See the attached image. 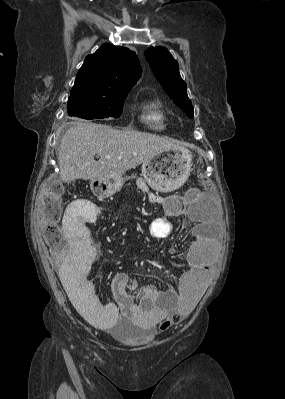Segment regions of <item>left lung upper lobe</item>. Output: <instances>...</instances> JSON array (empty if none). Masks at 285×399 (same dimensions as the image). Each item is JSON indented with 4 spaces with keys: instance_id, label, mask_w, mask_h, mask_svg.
Segmentation results:
<instances>
[{
    "instance_id": "1",
    "label": "left lung upper lobe",
    "mask_w": 285,
    "mask_h": 399,
    "mask_svg": "<svg viewBox=\"0 0 285 399\" xmlns=\"http://www.w3.org/2000/svg\"><path fill=\"white\" fill-rule=\"evenodd\" d=\"M145 57L165 92L188 117L193 118L192 102L187 96L186 83L179 74L178 62L161 46L148 48Z\"/></svg>"
}]
</instances>
